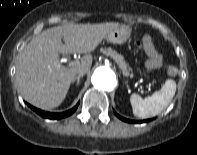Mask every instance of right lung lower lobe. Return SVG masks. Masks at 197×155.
Here are the masks:
<instances>
[{"mask_svg":"<svg viewBox=\"0 0 197 155\" xmlns=\"http://www.w3.org/2000/svg\"><path fill=\"white\" fill-rule=\"evenodd\" d=\"M28 106H29L32 110H34L37 114H39L40 116H42V117H44V118H48V119H61V118H65V117H67V116L73 114V113L76 111V109H77V107H78V104H77L74 108H72V109H70V110H68V111H66V112H62V113H49V112H44V111H42V110H40V109H37V108H35V107H33V106L29 105V104H28Z\"/></svg>","mask_w":197,"mask_h":155,"instance_id":"right-lung-lower-lobe-1","label":"right lung lower lobe"}]
</instances>
